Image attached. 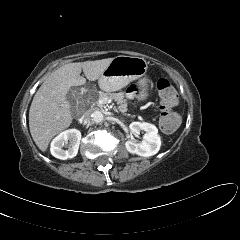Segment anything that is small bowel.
<instances>
[{"label": "small bowel", "instance_id": "small-bowel-1", "mask_svg": "<svg viewBox=\"0 0 240 240\" xmlns=\"http://www.w3.org/2000/svg\"><path fill=\"white\" fill-rule=\"evenodd\" d=\"M138 91V88L135 86H131L128 88V96L132 97L136 92Z\"/></svg>", "mask_w": 240, "mask_h": 240}]
</instances>
